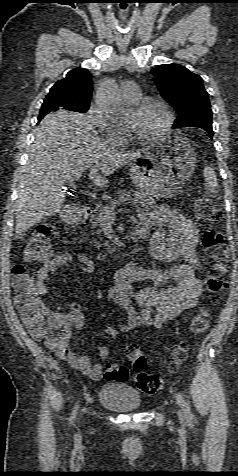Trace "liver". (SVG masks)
I'll return each mask as SVG.
<instances>
[{"instance_id":"liver-1","label":"liver","mask_w":238,"mask_h":476,"mask_svg":"<svg viewBox=\"0 0 238 476\" xmlns=\"http://www.w3.org/2000/svg\"><path fill=\"white\" fill-rule=\"evenodd\" d=\"M144 151H116L98 136L83 114L58 111L46 115L35 129V141L20 175L17 237L61 210L66 197L64 184L76 174L89 169L93 184L104 187L109 183L107 176Z\"/></svg>"}]
</instances>
